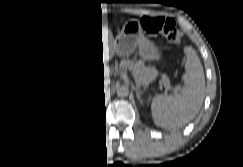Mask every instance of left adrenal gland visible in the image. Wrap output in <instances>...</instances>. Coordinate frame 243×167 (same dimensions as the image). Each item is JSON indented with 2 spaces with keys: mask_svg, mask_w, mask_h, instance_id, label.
<instances>
[{
  "mask_svg": "<svg viewBox=\"0 0 243 167\" xmlns=\"http://www.w3.org/2000/svg\"><path fill=\"white\" fill-rule=\"evenodd\" d=\"M135 90H136L137 99L142 103V100L140 98L141 90L139 89V87H136Z\"/></svg>",
  "mask_w": 243,
  "mask_h": 167,
  "instance_id": "obj_1",
  "label": "left adrenal gland"
}]
</instances>
